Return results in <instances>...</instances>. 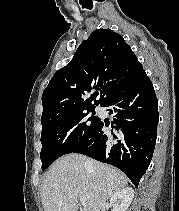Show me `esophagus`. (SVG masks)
<instances>
[{
    "instance_id": "1",
    "label": "esophagus",
    "mask_w": 179,
    "mask_h": 211,
    "mask_svg": "<svg viewBox=\"0 0 179 211\" xmlns=\"http://www.w3.org/2000/svg\"><path fill=\"white\" fill-rule=\"evenodd\" d=\"M116 105H119V102H116ZM106 140L107 141H116L117 140V137L114 136L113 133H110L109 136L106 137Z\"/></svg>"
}]
</instances>
